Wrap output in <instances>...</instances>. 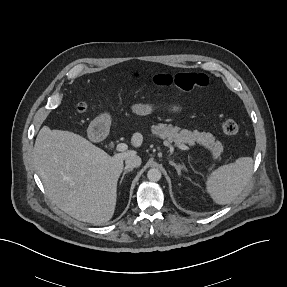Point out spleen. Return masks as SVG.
<instances>
[{"label":"spleen","instance_id":"spleen-1","mask_svg":"<svg viewBox=\"0 0 287 287\" xmlns=\"http://www.w3.org/2000/svg\"><path fill=\"white\" fill-rule=\"evenodd\" d=\"M252 169L251 157H240L234 163L220 166L207 177V192L219 205L231 203L249 182Z\"/></svg>","mask_w":287,"mask_h":287}]
</instances>
